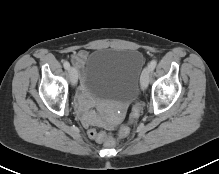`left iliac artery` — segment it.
I'll list each match as a JSON object with an SVG mask.
<instances>
[{
  "instance_id": "1",
  "label": "left iliac artery",
  "mask_w": 219,
  "mask_h": 174,
  "mask_svg": "<svg viewBox=\"0 0 219 174\" xmlns=\"http://www.w3.org/2000/svg\"><path fill=\"white\" fill-rule=\"evenodd\" d=\"M156 65H157V60L153 59L149 64L150 70L153 71L155 69Z\"/></svg>"
}]
</instances>
